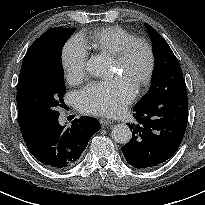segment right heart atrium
<instances>
[{
    "label": "right heart atrium",
    "instance_id": "1",
    "mask_svg": "<svg viewBox=\"0 0 205 205\" xmlns=\"http://www.w3.org/2000/svg\"><path fill=\"white\" fill-rule=\"evenodd\" d=\"M87 60L88 51L82 39L79 36L71 37L61 53L62 67L70 83H78L84 79Z\"/></svg>",
    "mask_w": 205,
    "mask_h": 205
}]
</instances>
